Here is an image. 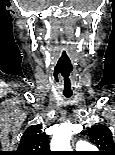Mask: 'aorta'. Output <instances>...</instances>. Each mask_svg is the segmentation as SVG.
<instances>
[{
  "mask_svg": "<svg viewBox=\"0 0 115 155\" xmlns=\"http://www.w3.org/2000/svg\"><path fill=\"white\" fill-rule=\"evenodd\" d=\"M72 135V124H62L51 140V150L70 151V139Z\"/></svg>",
  "mask_w": 115,
  "mask_h": 155,
  "instance_id": "obj_1",
  "label": "aorta"
}]
</instances>
